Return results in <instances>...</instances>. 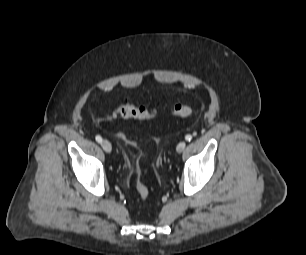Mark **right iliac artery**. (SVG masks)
Returning <instances> with one entry per match:
<instances>
[{
	"mask_svg": "<svg viewBox=\"0 0 306 255\" xmlns=\"http://www.w3.org/2000/svg\"><path fill=\"white\" fill-rule=\"evenodd\" d=\"M95 139H96V141H97L98 143H101V142H102V137L99 136V135H97V136L95 137Z\"/></svg>",
	"mask_w": 306,
	"mask_h": 255,
	"instance_id": "1",
	"label": "right iliac artery"
}]
</instances>
